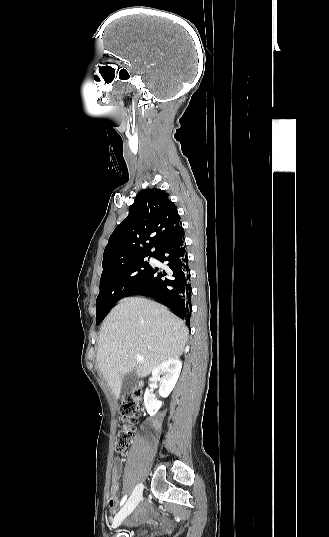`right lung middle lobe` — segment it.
Here are the masks:
<instances>
[{
  "label": "right lung middle lobe",
  "instance_id": "obj_1",
  "mask_svg": "<svg viewBox=\"0 0 329 537\" xmlns=\"http://www.w3.org/2000/svg\"><path fill=\"white\" fill-rule=\"evenodd\" d=\"M149 267L145 257H141L125 264L103 268L96 300V324L102 322L109 309L128 294Z\"/></svg>",
  "mask_w": 329,
  "mask_h": 537
}]
</instances>
